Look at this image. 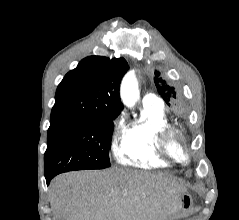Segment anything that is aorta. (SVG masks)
Listing matches in <instances>:
<instances>
[{
  "label": "aorta",
  "mask_w": 239,
  "mask_h": 220,
  "mask_svg": "<svg viewBox=\"0 0 239 220\" xmlns=\"http://www.w3.org/2000/svg\"><path fill=\"white\" fill-rule=\"evenodd\" d=\"M120 95L122 102L127 107H133L139 98V88L134 72L131 71L125 75L122 80Z\"/></svg>",
  "instance_id": "762f6f07"
}]
</instances>
